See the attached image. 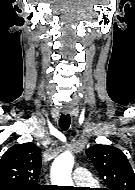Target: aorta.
<instances>
[{
  "label": "aorta",
  "mask_w": 135,
  "mask_h": 190,
  "mask_svg": "<svg viewBox=\"0 0 135 190\" xmlns=\"http://www.w3.org/2000/svg\"><path fill=\"white\" fill-rule=\"evenodd\" d=\"M74 165V157L66 151L59 155L52 164L51 181L58 186H72L71 171Z\"/></svg>",
  "instance_id": "762f6f07"
}]
</instances>
